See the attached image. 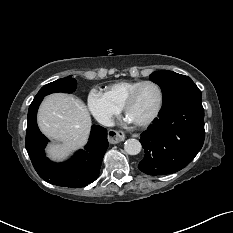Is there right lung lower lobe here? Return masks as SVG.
Listing matches in <instances>:
<instances>
[{
    "mask_svg": "<svg viewBox=\"0 0 233 233\" xmlns=\"http://www.w3.org/2000/svg\"><path fill=\"white\" fill-rule=\"evenodd\" d=\"M43 97H35L27 117L25 146L38 175L45 181L63 187H83L95 181L99 175L103 156L108 148L107 130L93 125L89 142L66 163H54L44 153L49 141L39 130L37 110Z\"/></svg>",
    "mask_w": 233,
    "mask_h": 233,
    "instance_id": "obj_1",
    "label": "right lung lower lobe"
}]
</instances>
